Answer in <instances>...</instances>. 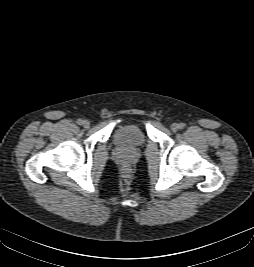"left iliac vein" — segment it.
Instances as JSON below:
<instances>
[{
	"instance_id": "1",
	"label": "left iliac vein",
	"mask_w": 254,
	"mask_h": 267,
	"mask_svg": "<svg viewBox=\"0 0 254 267\" xmlns=\"http://www.w3.org/2000/svg\"><path fill=\"white\" fill-rule=\"evenodd\" d=\"M178 129H179V124H177V123H173V124L171 125V130H172L173 132H176Z\"/></svg>"
}]
</instances>
